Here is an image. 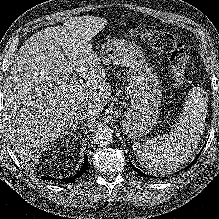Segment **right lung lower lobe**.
Here are the masks:
<instances>
[{
  "label": "right lung lower lobe",
  "mask_w": 219,
  "mask_h": 219,
  "mask_svg": "<svg viewBox=\"0 0 219 219\" xmlns=\"http://www.w3.org/2000/svg\"><path fill=\"white\" fill-rule=\"evenodd\" d=\"M87 168H88V157H87V155H85V156H84V163H83L81 169L78 171V173L75 174V175L72 176V177H68V178L61 179V181L66 182V183H67V182H68V183H71V182H73L75 179H77L78 177H80L84 172H86ZM41 179H43V180H56V178H52V177H49V176H43V177H41ZM57 180H58V179H57Z\"/></svg>",
  "instance_id": "right-lung-lower-lobe-1"
}]
</instances>
